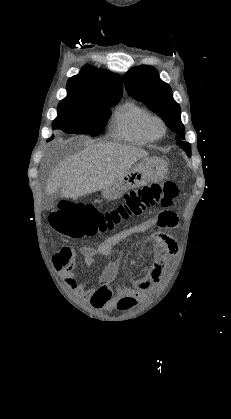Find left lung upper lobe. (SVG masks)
<instances>
[{
    "instance_id": "1",
    "label": "left lung upper lobe",
    "mask_w": 231,
    "mask_h": 419,
    "mask_svg": "<svg viewBox=\"0 0 231 419\" xmlns=\"http://www.w3.org/2000/svg\"><path fill=\"white\" fill-rule=\"evenodd\" d=\"M124 83L130 95L161 116L177 134L176 144L191 156L190 144L183 141L185 129L180 118V106L173 99L170 86L160 79L158 71L148 65L134 67L125 73Z\"/></svg>"
}]
</instances>
